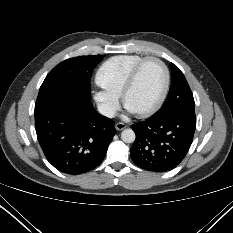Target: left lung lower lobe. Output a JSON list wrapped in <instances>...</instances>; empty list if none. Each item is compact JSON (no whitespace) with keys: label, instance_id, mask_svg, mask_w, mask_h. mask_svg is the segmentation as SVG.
Wrapping results in <instances>:
<instances>
[{"label":"left lung lower lobe","instance_id":"left-lung-lower-lobe-1","mask_svg":"<svg viewBox=\"0 0 233 233\" xmlns=\"http://www.w3.org/2000/svg\"><path fill=\"white\" fill-rule=\"evenodd\" d=\"M195 128L194 110H180L161 118L150 117L132 125L136 134L130 149L133 162L153 172L175 168L187 154Z\"/></svg>","mask_w":233,"mask_h":233}]
</instances>
